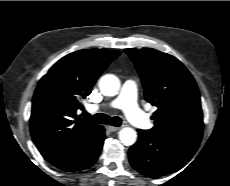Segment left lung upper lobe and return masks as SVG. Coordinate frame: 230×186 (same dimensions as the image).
Returning <instances> with one entry per match:
<instances>
[{
	"mask_svg": "<svg viewBox=\"0 0 230 186\" xmlns=\"http://www.w3.org/2000/svg\"><path fill=\"white\" fill-rule=\"evenodd\" d=\"M141 76L144 95L157 107L149 130L180 141L200 143L203 115L200 94L190 72L172 55L152 48L125 49Z\"/></svg>",
	"mask_w": 230,
	"mask_h": 186,
	"instance_id": "obj_1",
	"label": "left lung upper lobe"
}]
</instances>
